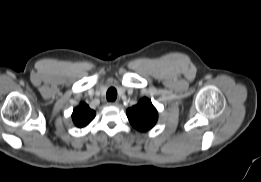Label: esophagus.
I'll use <instances>...</instances> for the list:
<instances>
[{"label":"esophagus","instance_id":"1","mask_svg":"<svg viewBox=\"0 0 261 182\" xmlns=\"http://www.w3.org/2000/svg\"><path fill=\"white\" fill-rule=\"evenodd\" d=\"M109 105H110V106H117V105H118V102H117V101L109 102Z\"/></svg>","mask_w":261,"mask_h":182}]
</instances>
